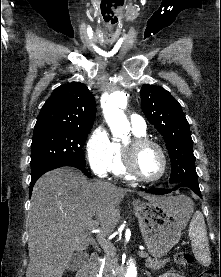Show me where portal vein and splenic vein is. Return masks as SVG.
<instances>
[{
  "instance_id": "18ae733b",
  "label": "portal vein and splenic vein",
  "mask_w": 221,
  "mask_h": 277,
  "mask_svg": "<svg viewBox=\"0 0 221 277\" xmlns=\"http://www.w3.org/2000/svg\"><path fill=\"white\" fill-rule=\"evenodd\" d=\"M98 224H99L98 221L93 220L92 222L89 223V229L94 230L95 228H97ZM97 240L102 247H105V245L107 244L105 237L101 233L97 234ZM139 253H141L140 256H144L146 254L143 251H140Z\"/></svg>"
}]
</instances>
